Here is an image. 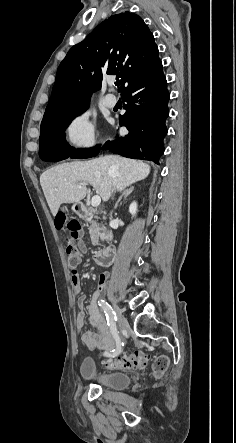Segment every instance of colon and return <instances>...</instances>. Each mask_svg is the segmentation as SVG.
Returning a JSON list of instances; mask_svg holds the SVG:
<instances>
[{
  "label": "colon",
  "mask_w": 236,
  "mask_h": 443,
  "mask_svg": "<svg viewBox=\"0 0 236 443\" xmlns=\"http://www.w3.org/2000/svg\"><path fill=\"white\" fill-rule=\"evenodd\" d=\"M57 223L59 226H65L68 231L67 240L69 242L66 248V257L70 266L75 267L82 259V254L78 248H76L70 242L76 240L79 237L81 231V224L79 221H68L65 214H59L57 217ZM75 279V278H74ZM168 361L164 357L158 358L154 364L153 369L157 377L163 375L167 368ZM103 365L110 369H143L147 365V356L143 352H134L131 354H124L115 358H109L103 360Z\"/></svg>",
  "instance_id": "5ec220e1"
}]
</instances>
